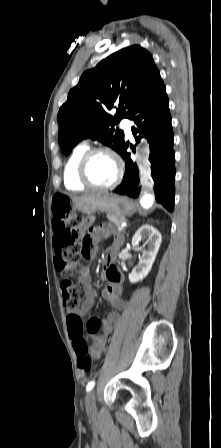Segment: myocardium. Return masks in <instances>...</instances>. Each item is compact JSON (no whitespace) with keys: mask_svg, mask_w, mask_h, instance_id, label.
Here are the masks:
<instances>
[{"mask_svg":"<svg viewBox=\"0 0 221 448\" xmlns=\"http://www.w3.org/2000/svg\"><path fill=\"white\" fill-rule=\"evenodd\" d=\"M100 154H107L111 156L114 159L117 166V173L114 180L107 185L96 184L92 181V179L89 176L90 162L95 156ZM123 174H124V165L122 159L120 158V156L116 151L108 147H96L88 149L80 158L77 166V177L79 181L88 187L96 189L107 190L116 187L122 180Z\"/></svg>","mask_w":221,"mask_h":448,"instance_id":"f54148a6","label":"myocardium"}]
</instances>
